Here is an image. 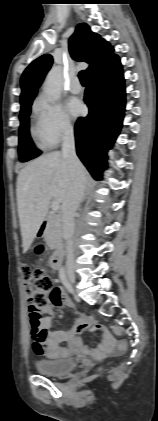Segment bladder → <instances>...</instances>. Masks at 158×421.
Listing matches in <instances>:
<instances>
[{
	"mask_svg": "<svg viewBox=\"0 0 158 421\" xmlns=\"http://www.w3.org/2000/svg\"><path fill=\"white\" fill-rule=\"evenodd\" d=\"M38 373L47 376H61L71 372L76 367V360L72 357L56 359H39L35 362Z\"/></svg>",
	"mask_w": 158,
	"mask_h": 421,
	"instance_id": "obj_1",
	"label": "bladder"
}]
</instances>
